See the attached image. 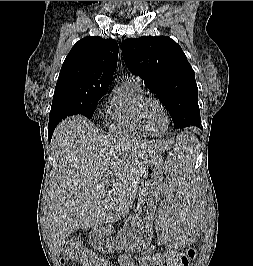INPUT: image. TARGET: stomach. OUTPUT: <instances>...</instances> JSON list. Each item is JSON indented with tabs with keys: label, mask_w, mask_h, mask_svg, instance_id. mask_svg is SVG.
Here are the masks:
<instances>
[{
	"label": "stomach",
	"mask_w": 253,
	"mask_h": 266,
	"mask_svg": "<svg viewBox=\"0 0 253 266\" xmlns=\"http://www.w3.org/2000/svg\"><path fill=\"white\" fill-rule=\"evenodd\" d=\"M165 170L159 156L154 157L148 163L140 182V199L135 211L125 221L115 239L110 240L106 237L98 243L100 249L110 250L114 246H118L127 252H141L150 245L155 215L153 197L161 189V179Z\"/></svg>",
	"instance_id": "stomach-1"
}]
</instances>
